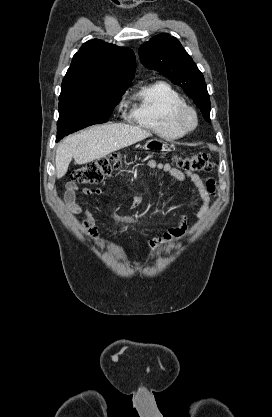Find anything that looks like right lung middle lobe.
<instances>
[{
  "instance_id": "1",
  "label": "right lung middle lobe",
  "mask_w": 272,
  "mask_h": 417,
  "mask_svg": "<svg viewBox=\"0 0 272 417\" xmlns=\"http://www.w3.org/2000/svg\"><path fill=\"white\" fill-rule=\"evenodd\" d=\"M125 91L117 89L90 96L59 99L56 141L87 126L107 122Z\"/></svg>"
}]
</instances>
